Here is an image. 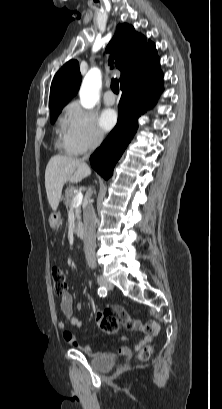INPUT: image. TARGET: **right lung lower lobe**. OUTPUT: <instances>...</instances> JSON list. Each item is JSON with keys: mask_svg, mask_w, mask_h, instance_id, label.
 <instances>
[{"mask_svg": "<svg viewBox=\"0 0 222 409\" xmlns=\"http://www.w3.org/2000/svg\"><path fill=\"white\" fill-rule=\"evenodd\" d=\"M160 70L134 78L121 86L118 105V122L102 145L90 157L91 166L104 179H108L118 159L138 128L137 119L153 107L162 91Z\"/></svg>", "mask_w": 222, "mask_h": 409, "instance_id": "1", "label": "right lung lower lobe"}]
</instances>
